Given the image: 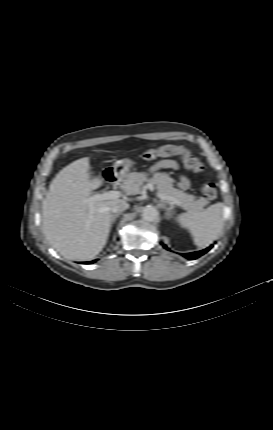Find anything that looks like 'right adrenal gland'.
<instances>
[{
    "instance_id": "1",
    "label": "right adrenal gland",
    "mask_w": 273,
    "mask_h": 430,
    "mask_svg": "<svg viewBox=\"0 0 273 430\" xmlns=\"http://www.w3.org/2000/svg\"><path fill=\"white\" fill-rule=\"evenodd\" d=\"M120 215H121V212H118V213L112 215L111 227L115 223L116 218L119 217Z\"/></svg>"
}]
</instances>
